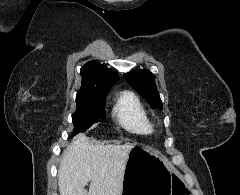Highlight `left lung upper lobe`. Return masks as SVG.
<instances>
[{
	"instance_id": "1",
	"label": "left lung upper lobe",
	"mask_w": 240,
	"mask_h": 195,
	"mask_svg": "<svg viewBox=\"0 0 240 195\" xmlns=\"http://www.w3.org/2000/svg\"><path fill=\"white\" fill-rule=\"evenodd\" d=\"M124 78L152 107L162 110L154 76L149 70H135L124 74Z\"/></svg>"
}]
</instances>
